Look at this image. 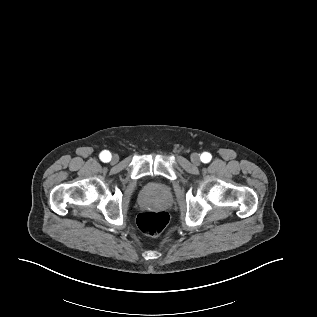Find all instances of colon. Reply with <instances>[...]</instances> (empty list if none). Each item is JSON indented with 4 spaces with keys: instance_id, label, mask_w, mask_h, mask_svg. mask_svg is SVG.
Instances as JSON below:
<instances>
[{
    "instance_id": "obj_1",
    "label": "colon",
    "mask_w": 317,
    "mask_h": 317,
    "mask_svg": "<svg viewBox=\"0 0 317 317\" xmlns=\"http://www.w3.org/2000/svg\"><path fill=\"white\" fill-rule=\"evenodd\" d=\"M169 222L165 211H146L137 217L138 228L148 236H158L163 232Z\"/></svg>"
}]
</instances>
